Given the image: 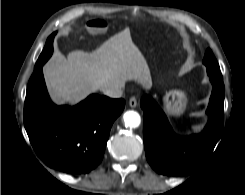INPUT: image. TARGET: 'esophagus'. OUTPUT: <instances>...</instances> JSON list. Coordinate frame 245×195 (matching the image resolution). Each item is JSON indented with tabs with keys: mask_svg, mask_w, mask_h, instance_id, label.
<instances>
[{
	"mask_svg": "<svg viewBox=\"0 0 245 195\" xmlns=\"http://www.w3.org/2000/svg\"><path fill=\"white\" fill-rule=\"evenodd\" d=\"M129 106L131 108H135L137 106V98L136 97L133 96L129 99Z\"/></svg>",
	"mask_w": 245,
	"mask_h": 195,
	"instance_id": "esophagus-1",
	"label": "esophagus"
}]
</instances>
